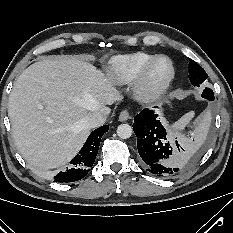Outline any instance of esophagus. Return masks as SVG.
Instances as JSON below:
<instances>
[{"label":"esophagus","mask_w":233,"mask_h":233,"mask_svg":"<svg viewBox=\"0 0 233 233\" xmlns=\"http://www.w3.org/2000/svg\"><path fill=\"white\" fill-rule=\"evenodd\" d=\"M130 118L129 112L127 110H123L119 115V121L125 122Z\"/></svg>","instance_id":"esophagus-1"}]
</instances>
